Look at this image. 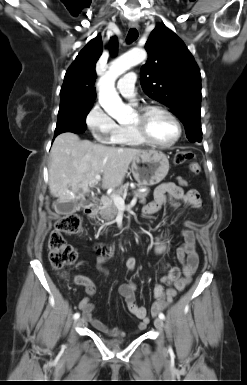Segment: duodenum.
Returning <instances> with one entry per match:
<instances>
[{"mask_svg": "<svg viewBox=\"0 0 247 385\" xmlns=\"http://www.w3.org/2000/svg\"><path fill=\"white\" fill-rule=\"evenodd\" d=\"M98 211H99V206L95 203H90L86 206L85 214L89 218H94L98 214ZM102 252L104 251L102 250Z\"/></svg>", "mask_w": 247, "mask_h": 385, "instance_id": "duodenum-1", "label": "duodenum"}]
</instances>
